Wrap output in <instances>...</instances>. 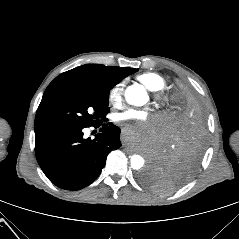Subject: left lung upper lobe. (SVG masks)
Segmentation results:
<instances>
[{
	"label": "left lung upper lobe",
	"instance_id": "obj_1",
	"mask_svg": "<svg viewBox=\"0 0 239 239\" xmlns=\"http://www.w3.org/2000/svg\"><path fill=\"white\" fill-rule=\"evenodd\" d=\"M199 99L196 91L186 82L178 81L173 94L174 108L170 114L171 126L176 124L177 108L179 104L189 99ZM142 182L158 192H166L171 190L173 187L171 181L161 174L156 169L149 168V170L141 177Z\"/></svg>",
	"mask_w": 239,
	"mask_h": 239
}]
</instances>
